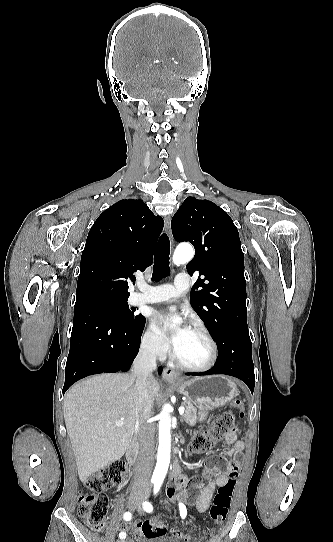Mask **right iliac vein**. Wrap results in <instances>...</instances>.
I'll list each match as a JSON object with an SVG mask.
<instances>
[{
    "label": "right iliac vein",
    "mask_w": 333,
    "mask_h": 542,
    "mask_svg": "<svg viewBox=\"0 0 333 542\" xmlns=\"http://www.w3.org/2000/svg\"><path fill=\"white\" fill-rule=\"evenodd\" d=\"M140 497H141V496H140ZM138 505H139V504H138L137 501H130L128 506H129V508H130L131 510H134V509L137 508Z\"/></svg>",
    "instance_id": "1"
}]
</instances>
